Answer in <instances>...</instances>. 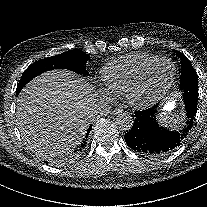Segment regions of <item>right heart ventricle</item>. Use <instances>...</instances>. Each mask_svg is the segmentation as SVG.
Returning a JSON list of instances; mask_svg holds the SVG:
<instances>
[{"mask_svg":"<svg viewBox=\"0 0 207 207\" xmlns=\"http://www.w3.org/2000/svg\"><path fill=\"white\" fill-rule=\"evenodd\" d=\"M157 59V55L140 53L107 64L102 71L106 93L112 97H125L139 82L143 71Z\"/></svg>","mask_w":207,"mask_h":207,"instance_id":"obj_1","label":"right heart ventricle"}]
</instances>
